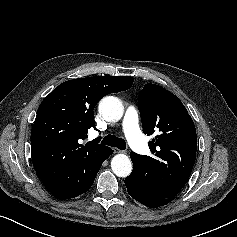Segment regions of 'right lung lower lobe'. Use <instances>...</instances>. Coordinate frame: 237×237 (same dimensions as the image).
Instances as JSON below:
<instances>
[{
	"mask_svg": "<svg viewBox=\"0 0 237 237\" xmlns=\"http://www.w3.org/2000/svg\"><path fill=\"white\" fill-rule=\"evenodd\" d=\"M112 153H113V150L109 148L105 156H103L99 160L89 162L85 166L82 167L81 171L82 173H84V176L87 177V182L82 186L81 191L75 197L87 192L90 189L103 161L106 160ZM64 199H69V198H64Z\"/></svg>",
	"mask_w": 237,
	"mask_h": 237,
	"instance_id": "98d812e1",
	"label": "right lung lower lobe"
}]
</instances>
